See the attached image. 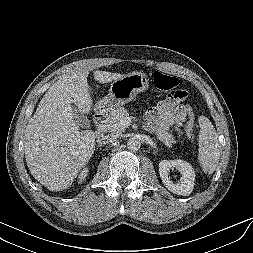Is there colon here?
<instances>
[{
	"label": "colon",
	"instance_id": "colon-1",
	"mask_svg": "<svg viewBox=\"0 0 253 253\" xmlns=\"http://www.w3.org/2000/svg\"><path fill=\"white\" fill-rule=\"evenodd\" d=\"M153 83L157 89L162 91H168L170 93L169 96L172 98L184 99L186 97V92L179 87V79L175 76L167 75L160 71H156L153 74ZM186 126L187 129L191 131V121H188Z\"/></svg>",
	"mask_w": 253,
	"mask_h": 253
}]
</instances>
